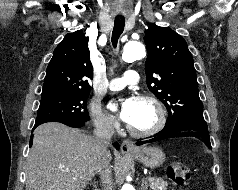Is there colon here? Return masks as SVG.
<instances>
[{
	"instance_id": "obj_1",
	"label": "colon",
	"mask_w": 238,
	"mask_h": 190,
	"mask_svg": "<svg viewBox=\"0 0 238 190\" xmlns=\"http://www.w3.org/2000/svg\"><path fill=\"white\" fill-rule=\"evenodd\" d=\"M168 175L177 185H185L191 177V170L181 162H174L168 167Z\"/></svg>"
}]
</instances>
